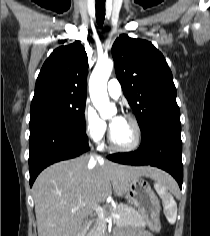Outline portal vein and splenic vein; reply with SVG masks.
Here are the masks:
<instances>
[{
  "label": "portal vein and splenic vein",
  "mask_w": 210,
  "mask_h": 236,
  "mask_svg": "<svg viewBox=\"0 0 210 236\" xmlns=\"http://www.w3.org/2000/svg\"><path fill=\"white\" fill-rule=\"evenodd\" d=\"M80 206H85V204H81ZM95 210L100 215H102L104 213V210L100 206H98V205H95ZM112 217L115 220H118V219L121 218L119 214H115V213L112 214Z\"/></svg>",
  "instance_id": "obj_1"
}]
</instances>
